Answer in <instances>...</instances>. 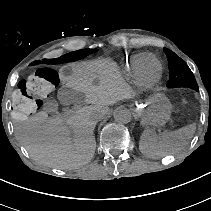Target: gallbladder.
Segmentation results:
<instances>
[{"label": "gallbladder", "mask_w": 211, "mask_h": 211, "mask_svg": "<svg viewBox=\"0 0 211 211\" xmlns=\"http://www.w3.org/2000/svg\"><path fill=\"white\" fill-rule=\"evenodd\" d=\"M57 98L62 105L73 104L75 106H80L84 102V95L82 92L75 91L66 85L58 90Z\"/></svg>", "instance_id": "obj_1"}]
</instances>
